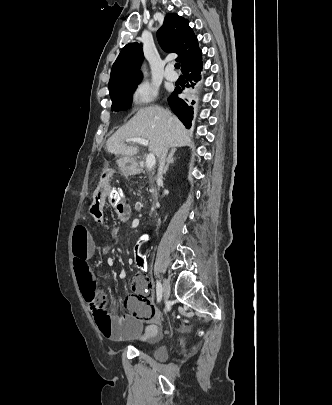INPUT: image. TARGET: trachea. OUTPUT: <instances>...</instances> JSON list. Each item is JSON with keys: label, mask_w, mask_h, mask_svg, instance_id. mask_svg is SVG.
Listing matches in <instances>:
<instances>
[{"label": "trachea", "mask_w": 332, "mask_h": 405, "mask_svg": "<svg viewBox=\"0 0 332 405\" xmlns=\"http://www.w3.org/2000/svg\"><path fill=\"white\" fill-rule=\"evenodd\" d=\"M175 68H176V69H179V68H180V64H179V63H176V64H175Z\"/></svg>", "instance_id": "trachea-1"}]
</instances>
